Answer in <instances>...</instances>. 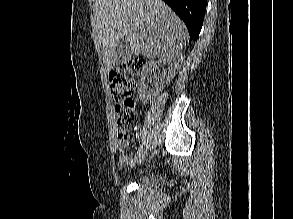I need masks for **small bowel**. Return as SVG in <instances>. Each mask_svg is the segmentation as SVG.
I'll list each match as a JSON object with an SVG mask.
<instances>
[{
	"instance_id": "small-bowel-1",
	"label": "small bowel",
	"mask_w": 293,
	"mask_h": 219,
	"mask_svg": "<svg viewBox=\"0 0 293 219\" xmlns=\"http://www.w3.org/2000/svg\"><path fill=\"white\" fill-rule=\"evenodd\" d=\"M117 142L119 146V159L123 164L131 161L130 157L126 155V147L129 145V137L127 134L117 131Z\"/></svg>"
}]
</instances>
